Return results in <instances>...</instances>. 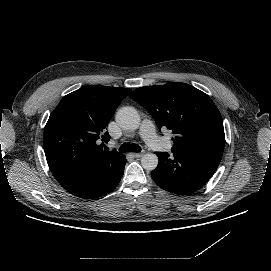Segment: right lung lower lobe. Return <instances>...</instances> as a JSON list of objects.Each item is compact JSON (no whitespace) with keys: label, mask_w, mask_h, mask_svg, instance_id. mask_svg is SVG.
Here are the masks:
<instances>
[{"label":"right lung lower lobe","mask_w":271,"mask_h":271,"mask_svg":"<svg viewBox=\"0 0 271 271\" xmlns=\"http://www.w3.org/2000/svg\"><path fill=\"white\" fill-rule=\"evenodd\" d=\"M126 158L123 155L115 168L103 172L97 178L87 181L86 184L67 190L69 193L83 198H98L112 192L119 184L124 173Z\"/></svg>","instance_id":"98d812e1"}]
</instances>
